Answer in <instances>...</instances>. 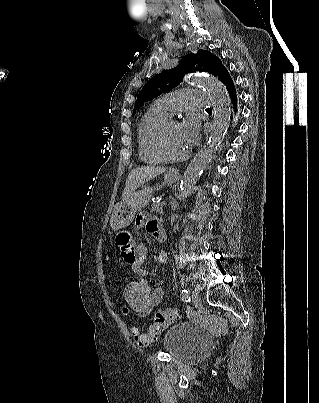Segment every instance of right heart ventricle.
Listing matches in <instances>:
<instances>
[{
  "instance_id": "e07e8e85",
  "label": "right heart ventricle",
  "mask_w": 319,
  "mask_h": 403,
  "mask_svg": "<svg viewBox=\"0 0 319 403\" xmlns=\"http://www.w3.org/2000/svg\"><path fill=\"white\" fill-rule=\"evenodd\" d=\"M170 117L155 104L142 116L138 125V149L141 160L147 164H161L164 160L155 148V135L160 126Z\"/></svg>"
}]
</instances>
